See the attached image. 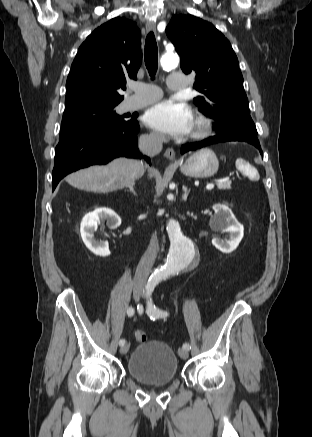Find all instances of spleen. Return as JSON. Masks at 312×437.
<instances>
[{
    "label": "spleen",
    "instance_id": "1",
    "mask_svg": "<svg viewBox=\"0 0 312 437\" xmlns=\"http://www.w3.org/2000/svg\"><path fill=\"white\" fill-rule=\"evenodd\" d=\"M236 167L241 172H244L245 174L249 175L252 179L255 180L258 179V174L252 171L251 166L245 160L238 158L236 160Z\"/></svg>",
    "mask_w": 312,
    "mask_h": 437
}]
</instances>
